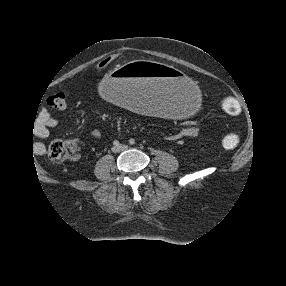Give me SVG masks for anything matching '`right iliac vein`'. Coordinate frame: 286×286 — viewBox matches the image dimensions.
<instances>
[{
  "label": "right iliac vein",
  "instance_id": "right-iliac-vein-1",
  "mask_svg": "<svg viewBox=\"0 0 286 286\" xmlns=\"http://www.w3.org/2000/svg\"><path fill=\"white\" fill-rule=\"evenodd\" d=\"M112 151H113L114 153H118V152H120V149H119V147L114 146V147L112 148Z\"/></svg>",
  "mask_w": 286,
  "mask_h": 286
}]
</instances>
